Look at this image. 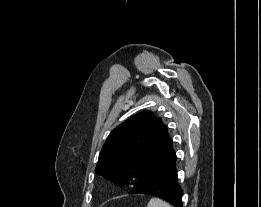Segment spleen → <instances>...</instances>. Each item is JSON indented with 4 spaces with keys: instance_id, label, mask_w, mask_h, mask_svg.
<instances>
[{
    "instance_id": "3e777b00",
    "label": "spleen",
    "mask_w": 261,
    "mask_h": 207,
    "mask_svg": "<svg viewBox=\"0 0 261 207\" xmlns=\"http://www.w3.org/2000/svg\"><path fill=\"white\" fill-rule=\"evenodd\" d=\"M147 207H172L167 202L159 199V198H152L149 202Z\"/></svg>"
}]
</instances>
